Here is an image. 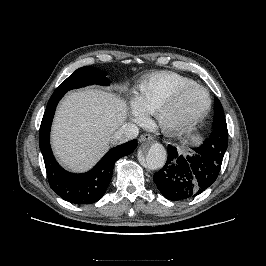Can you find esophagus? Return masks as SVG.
I'll use <instances>...</instances> for the list:
<instances>
[{"label": "esophagus", "instance_id": "34e87169", "mask_svg": "<svg viewBox=\"0 0 266 266\" xmlns=\"http://www.w3.org/2000/svg\"><path fill=\"white\" fill-rule=\"evenodd\" d=\"M138 141H139V143H143L145 141L152 142L153 141V137L150 134H142L139 137Z\"/></svg>", "mask_w": 266, "mask_h": 266}]
</instances>
